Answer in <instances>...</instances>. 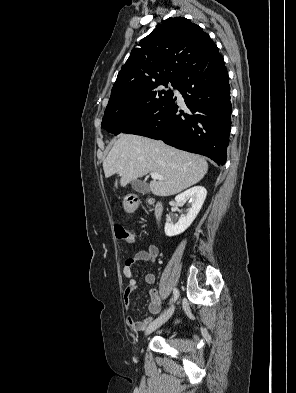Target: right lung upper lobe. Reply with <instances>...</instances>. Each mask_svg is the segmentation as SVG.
<instances>
[{
	"mask_svg": "<svg viewBox=\"0 0 296 393\" xmlns=\"http://www.w3.org/2000/svg\"><path fill=\"white\" fill-rule=\"evenodd\" d=\"M215 46L198 25L168 18L139 43L122 66L109 102L132 98L151 86L177 83L182 74Z\"/></svg>",
	"mask_w": 296,
	"mask_h": 393,
	"instance_id": "obj_1",
	"label": "right lung upper lobe"
}]
</instances>
